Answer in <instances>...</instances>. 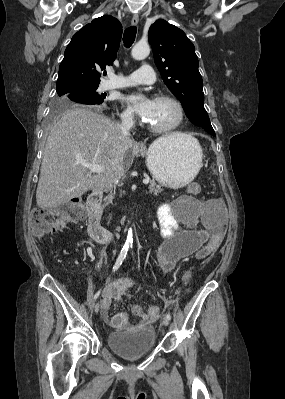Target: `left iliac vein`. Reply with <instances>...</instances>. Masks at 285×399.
Listing matches in <instances>:
<instances>
[{
  "mask_svg": "<svg viewBox=\"0 0 285 399\" xmlns=\"http://www.w3.org/2000/svg\"><path fill=\"white\" fill-rule=\"evenodd\" d=\"M162 324H163L164 326H168V325H169V319H168L167 317H163V319H162Z\"/></svg>",
  "mask_w": 285,
  "mask_h": 399,
  "instance_id": "obj_1",
  "label": "left iliac vein"
}]
</instances>
